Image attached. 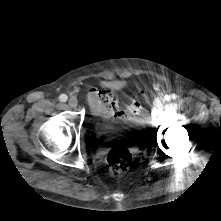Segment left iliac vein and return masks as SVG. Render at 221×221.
Here are the masks:
<instances>
[{"mask_svg":"<svg viewBox=\"0 0 221 221\" xmlns=\"http://www.w3.org/2000/svg\"><path fill=\"white\" fill-rule=\"evenodd\" d=\"M163 106V100L161 99H156L155 102H154V107L156 109H161Z\"/></svg>","mask_w":221,"mask_h":221,"instance_id":"4c4485c4","label":"left iliac vein"}]
</instances>
